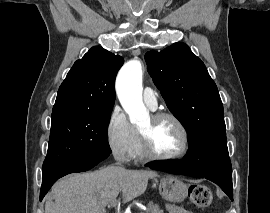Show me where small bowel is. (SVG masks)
<instances>
[{
	"label": "small bowel",
	"mask_w": 270,
	"mask_h": 213,
	"mask_svg": "<svg viewBox=\"0 0 270 213\" xmlns=\"http://www.w3.org/2000/svg\"><path fill=\"white\" fill-rule=\"evenodd\" d=\"M167 210H168V213H192L191 211H188L178 206H168Z\"/></svg>",
	"instance_id": "small-bowel-1"
}]
</instances>
